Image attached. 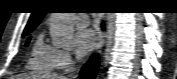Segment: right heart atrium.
<instances>
[{
	"label": "right heart atrium",
	"instance_id": "right-heart-atrium-1",
	"mask_svg": "<svg viewBox=\"0 0 177 79\" xmlns=\"http://www.w3.org/2000/svg\"><path fill=\"white\" fill-rule=\"evenodd\" d=\"M73 65V58L70 52L66 50H57L56 66L62 70H67Z\"/></svg>",
	"mask_w": 177,
	"mask_h": 79
}]
</instances>
